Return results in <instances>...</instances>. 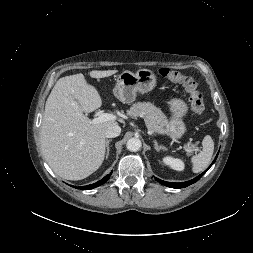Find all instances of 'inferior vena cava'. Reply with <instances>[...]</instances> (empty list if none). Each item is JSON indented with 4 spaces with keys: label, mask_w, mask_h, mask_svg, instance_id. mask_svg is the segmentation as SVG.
Segmentation results:
<instances>
[{
    "label": "inferior vena cava",
    "mask_w": 253,
    "mask_h": 253,
    "mask_svg": "<svg viewBox=\"0 0 253 253\" xmlns=\"http://www.w3.org/2000/svg\"><path fill=\"white\" fill-rule=\"evenodd\" d=\"M121 133V128L119 125L114 124L112 126H109L105 131V137L107 138H114L119 136Z\"/></svg>",
    "instance_id": "inferior-vena-cava-1"
}]
</instances>
